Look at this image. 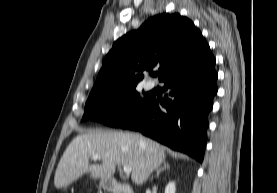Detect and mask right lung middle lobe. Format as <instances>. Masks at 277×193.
<instances>
[{"label":"right lung middle lobe","mask_w":277,"mask_h":193,"mask_svg":"<svg viewBox=\"0 0 277 193\" xmlns=\"http://www.w3.org/2000/svg\"><path fill=\"white\" fill-rule=\"evenodd\" d=\"M152 95L139 97L136 86L90 94L85 104L83 120L102 122L111 127H120L138 112Z\"/></svg>","instance_id":"dd1d6c3e"}]
</instances>
